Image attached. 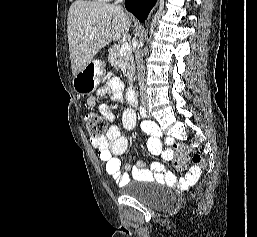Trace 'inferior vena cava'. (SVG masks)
<instances>
[{
	"label": "inferior vena cava",
	"instance_id": "602c4592",
	"mask_svg": "<svg viewBox=\"0 0 257 237\" xmlns=\"http://www.w3.org/2000/svg\"><path fill=\"white\" fill-rule=\"evenodd\" d=\"M123 0H116L115 5L117 7H121L120 3ZM135 56L137 59V69H138V81H139V86H140V97H141V102L146 103L148 100V97L146 93L144 92V76H145V71H144V66H143V59H142V52L140 51L139 47L135 50Z\"/></svg>",
	"mask_w": 257,
	"mask_h": 237
}]
</instances>
